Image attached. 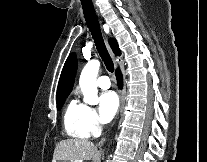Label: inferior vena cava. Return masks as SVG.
<instances>
[{"label":"inferior vena cava","instance_id":"inferior-vena-cava-1","mask_svg":"<svg viewBox=\"0 0 207 162\" xmlns=\"http://www.w3.org/2000/svg\"><path fill=\"white\" fill-rule=\"evenodd\" d=\"M104 141H105V139L102 138L98 145H102L104 143Z\"/></svg>","mask_w":207,"mask_h":162}]
</instances>
